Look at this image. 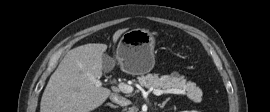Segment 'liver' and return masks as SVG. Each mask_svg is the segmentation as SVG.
<instances>
[{
    "label": "liver",
    "mask_w": 270,
    "mask_h": 112,
    "mask_svg": "<svg viewBox=\"0 0 270 112\" xmlns=\"http://www.w3.org/2000/svg\"><path fill=\"white\" fill-rule=\"evenodd\" d=\"M126 30H117L113 42ZM106 49V44L89 43L70 50L48 81L40 112H90L101 106L111 94L108 88L95 84L103 74Z\"/></svg>",
    "instance_id": "6515ba94"
}]
</instances>
